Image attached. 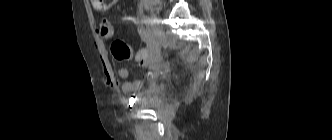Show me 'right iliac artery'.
<instances>
[{
	"mask_svg": "<svg viewBox=\"0 0 332 140\" xmlns=\"http://www.w3.org/2000/svg\"><path fill=\"white\" fill-rule=\"evenodd\" d=\"M141 22L146 26V28H148L151 24V19L147 16H143Z\"/></svg>",
	"mask_w": 332,
	"mask_h": 140,
	"instance_id": "82829eb1",
	"label": "right iliac artery"
}]
</instances>
